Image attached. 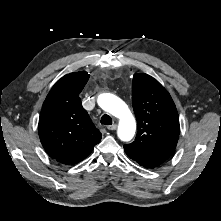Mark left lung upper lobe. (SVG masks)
Here are the masks:
<instances>
[{"instance_id": "left-lung-upper-lobe-1", "label": "left lung upper lobe", "mask_w": 221, "mask_h": 221, "mask_svg": "<svg viewBox=\"0 0 221 221\" xmlns=\"http://www.w3.org/2000/svg\"><path fill=\"white\" fill-rule=\"evenodd\" d=\"M132 105L138 132L124 150L139 164L157 167L172 155L178 142L180 126L175 104L157 80L137 73L132 83Z\"/></svg>"}]
</instances>
